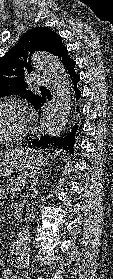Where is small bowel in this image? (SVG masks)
<instances>
[{
  "mask_svg": "<svg viewBox=\"0 0 113 279\" xmlns=\"http://www.w3.org/2000/svg\"><path fill=\"white\" fill-rule=\"evenodd\" d=\"M2 195H3V190L0 188V197H2ZM15 277H16L15 273L12 269L8 268L4 270L3 279H14Z\"/></svg>",
  "mask_w": 113,
  "mask_h": 279,
  "instance_id": "1",
  "label": "small bowel"
}]
</instances>
